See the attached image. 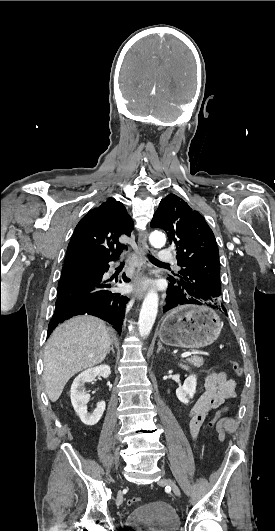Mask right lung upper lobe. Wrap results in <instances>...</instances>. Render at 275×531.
Instances as JSON below:
<instances>
[{"label": "right lung upper lobe", "instance_id": "cb5924a9", "mask_svg": "<svg viewBox=\"0 0 275 531\" xmlns=\"http://www.w3.org/2000/svg\"><path fill=\"white\" fill-rule=\"evenodd\" d=\"M132 230L133 222L124 205L114 198L107 199L77 224L67 248L64 265L119 255L127 248L119 242V237L130 236Z\"/></svg>", "mask_w": 275, "mask_h": 531}]
</instances>
